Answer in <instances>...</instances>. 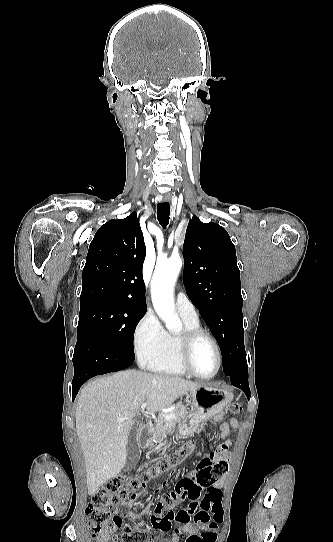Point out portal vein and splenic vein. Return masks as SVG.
Segmentation results:
<instances>
[{"label": "portal vein and splenic vein", "instance_id": "1", "mask_svg": "<svg viewBox=\"0 0 333 542\" xmlns=\"http://www.w3.org/2000/svg\"><path fill=\"white\" fill-rule=\"evenodd\" d=\"M147 404H142L140 408V412H144ZM164 418H167V420H171V418H175L174 414H169V416H164ZM125 420H128V418H117L116 422H125Z\"/></svg>", "mask_w": 333, "mask_h": 542}]
</instances>
